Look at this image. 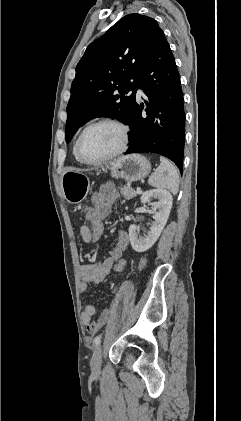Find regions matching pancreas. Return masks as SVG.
I'll list each match as a JSON object with an SVG mask.
<instances>
[{"label":"pancreas","mask_w":241,"mask_h":421,"mask_svg":"<svg viewBox=\"0 0 241 421\" xmlns=\"http://www.w3.org/2000/svg\"><path fill=\"white\" fill-rule=\"evenodd\" d=\"M119 190H120L122 196H124V198H126V199H132V198L137 196L136 191L133 188H131L130 186H121V187H119Z\"/></svg>","instance_id":"obj_1"}]
</instances>
